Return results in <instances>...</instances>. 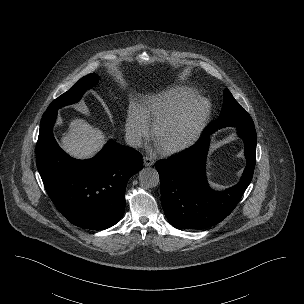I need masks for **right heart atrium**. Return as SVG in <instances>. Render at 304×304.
Returning a JSON list of instances; mask_svg holds the SVG:
<instances>
[{
    "mask_svg": "<svg viewBox=\"0 0 304 304\" xmlns=\"http://www.w3.org/2000/svg\"><path fill=\"white\" fill-rule=\"evenodd\" d=\"M149 125L138 108L130 109L126 119V133L133 146H139L149 135Z\"/></svg>",
    "mask_w": 304,
    "mask_h": 304,
    "instance_id": "right-heart-atrium-1",
    "label": "right heart atrium"
}]
</instances>
